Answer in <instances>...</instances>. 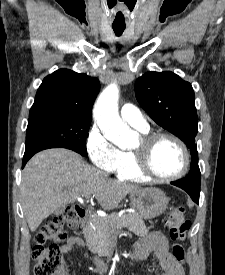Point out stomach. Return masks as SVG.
Listing matches in <instances>:
<instances>
[{"instance_id":"0dacf381","label":"stomach","mask_w":225,"mask_h":275,"mask_svg":"<svg viewBox=\"0 0 225 275\" xmlns=\"http://www.w3.org/2000/svg\"><path fill=\"white\" fill-rule=\"evenodd\" d=\"M131 206L141 218L153 219L163 214L168 207V198L158 188H145L130 193Z\"/></svg>"}]
</instances>
